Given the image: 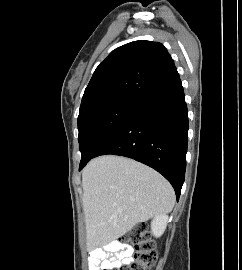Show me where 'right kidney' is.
I'll return each instance as SVG.
<instances>
[{"label":"right kidney","instance_id":"obj_1","mask_svg":"<svg viewBox=\"0 0 242 270\" xmlns=\"http://www.w3.org/2000/svg\"><path fill=\"white\" fill-rule=\"evenodd\" d=\"M167 222H168V216L167 215H157V216H155V218L151 222L152 234L155 237H160L164 233V231L166 229Z\"/></svg>","mask_w":242,"mask_h":270}]
</instances>
